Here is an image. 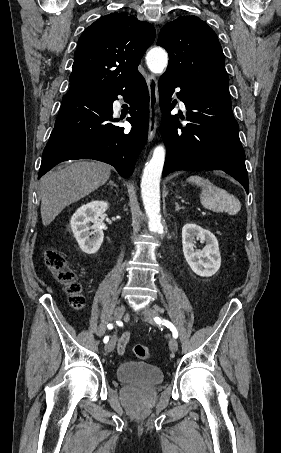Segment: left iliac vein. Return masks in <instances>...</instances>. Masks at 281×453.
I'll use <instances>...</instances> for the list:
<instances>
[{"label": "left iliac vein", "mask_w": 281, "mask_h": 453, "mask_svg": "<svg viewBox=\"0 0 281 453\" xmlns=\"http://www.w3.org/2000/svg\"><path fill=\"white\" fill-rule=\"evenodd\" d=\"M147 310L143 314V317L147 319V321L151 324L154 325L155 321L151 320V318H155L158 315L157 310H152L151 308H146ZM159 326V325H158ZM169 349L171 350L172 353H175L176 350L178 349V342L175 338H170L169 339Z\"/></svg>", "instance_id": "obj_1"}]
</instances>
